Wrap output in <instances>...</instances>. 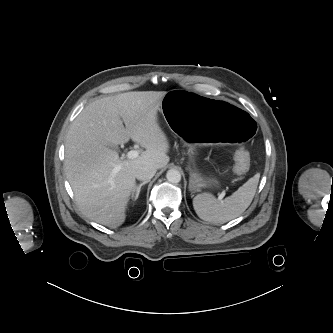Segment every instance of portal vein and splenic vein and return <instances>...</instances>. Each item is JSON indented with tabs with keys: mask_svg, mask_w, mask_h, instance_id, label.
I'll use <instances>...</instances> for the list:
<instances>
[{
	"mask_svg": "<svg viewBox=\"0 0 333 333\" xmlns=\"http://www.w3.org/2000/svg\"><path fill=\"white\" fill-rule=\"evenodd\" d=\"M139 156V151L138 150H131L129 151L127 154H126V157L128 159H135ZM118 170L117 168L115 169V171ZM225 196V192L221 193L219 196H218V200H222Z\"/></svg>",
	"mask_w": 333,
	"mask_h": 333,
	"instance_id": "portal-vein-and-splenic-vein-1",
	"label": "portal vein and splenic vein"
}]
</instances>
